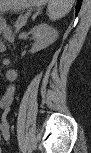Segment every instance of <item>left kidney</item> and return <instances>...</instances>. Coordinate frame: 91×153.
I'll use <instances>...</instances> for the list:
<instances>
[{"mask_svg": "<svg viewBox=\"0 0 91 153\" xmlns=\"http://www.w3.org/2000/svg\"><path fill=\"white\" fill-rule=\"evenodd\" d=\"M31 34L35 40V45L31 50L32 53L47 48L58 36L56 29L45 23L34 27Z\"/></svg>", "mask_w": 91, "mask_h": 153, "instance_id": "5707ae66", "label": "left kidney"}]
</instances>
